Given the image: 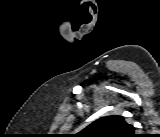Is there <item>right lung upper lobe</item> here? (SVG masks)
<instances>
[{
    "mask_svg": "<svg viewBox=\"0 0 160 137\" xmlns=\"http://www.w3.org/2000/svg\"><path fill=\"white\" fill-rule=\"evenodd\" d=\"M134 130V127L126 123L122 116L112 115L92 122L79 135L82 137H132Z\"/></svg>",
    "mask_w": 160,
    "mask_h": 137,
    "instance_id": "right-lung-upper-lobe-1",
    "label": "right lung upper lobe"
}]
</instances>
